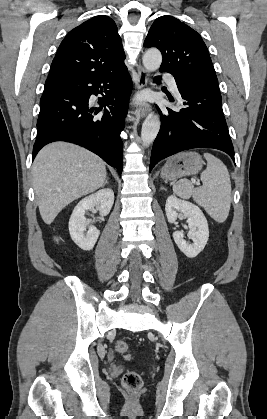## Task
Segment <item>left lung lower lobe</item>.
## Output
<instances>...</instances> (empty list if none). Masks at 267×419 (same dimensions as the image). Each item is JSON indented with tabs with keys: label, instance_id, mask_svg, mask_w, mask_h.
<instances>
[{
	"label": "left lung lower lobe",
	"instance_id": "1",
	"mask_svg": "<svg viewBox=\"0 0 267 419\" xmlns=\"http://www.w3.org/2000/svg\"><path fill=\"white\" fill-rule=\"evenodd\" d=\"M154 80L160 82L161 77ZM175 81L183 100L182 108L167 107L162 111L156 106L161 128L153 144L149 170L168 156L201 147L221 150L234 161L219 87L183 77H175Z\"/></svg>",
	"mask_w": 267,
	"mask_h": 419
}]
</instances>
